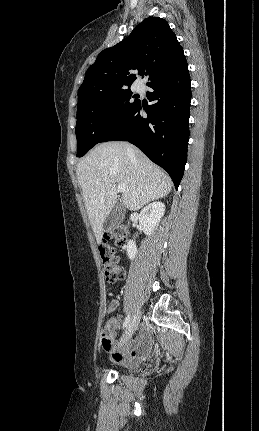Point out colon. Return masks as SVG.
Instances as JSON below:
<instances>
[{"label": "colon", "instance_id": "5ec220e1", "mask_svg": "<svg viewBox=\"0 0 259 431\" xmlns=\"http://www.w3.org/2000/svg\"><path fill=\"white\" fill-rule=\"evenodd\" d=\"M127 231L122 226H117L108 230L104 234L103 243L99 247L101 262L105 280L108 284L114 285L124 277V269L119 263V256L114 247L109 242L113 241L115 245L122 246L125 243ZM113 325V319L108 318L106 321V329L102 333V345L108 346L110 339L108 336V328Z\"/></svg>", "mask_w": 259, "mask_h": 431}]
</instances>
